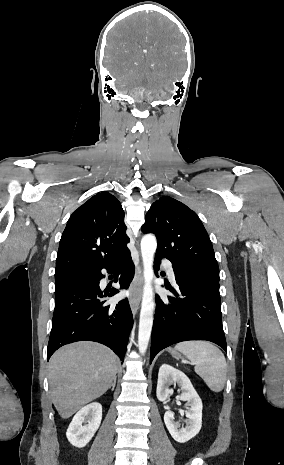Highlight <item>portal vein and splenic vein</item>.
<instances>
[{
  "label": "portal vein and splenic vein",
  "instance_id": "18ae733b",
  "mask_svg": "<svg viewBox=\"0 0 284 465\" xmlns=\"http://www.w3.org/2000/svg\"><path fill=\"white\" fill-rule=\"evenodd\" d=\"M189 365H196V363H189Z\"/></svg>",
  "mask_w": 284,
  "mask_h": 465
}]
</instances>
